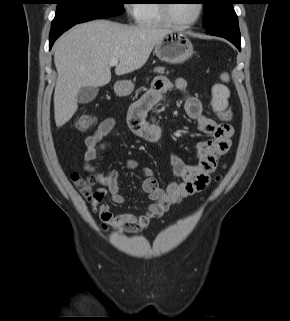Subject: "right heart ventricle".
<instances>
[{
    "label": "right heart ventricle",
    "mask_w": 290,
    "mask_h": 321,
    "mask_svg": "<svg viewBox=\"0 0 290 321\" xmlns=\"http://www.w3.org/2000/svg\"><path fill=\"white\" fill-rule=\"evenodd\" d=\"M159 0H140L135 5L136 21L140 25H165L166 21L159 8Z\"/></svg>",
    "instance_id": "obj_1"
}]
</instances>
